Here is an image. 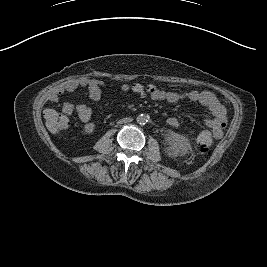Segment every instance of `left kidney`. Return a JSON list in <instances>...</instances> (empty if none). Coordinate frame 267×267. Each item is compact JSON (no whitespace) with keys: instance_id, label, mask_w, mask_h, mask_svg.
Segmentation results:
<instances>
[{"instance_id":"1","label":"left kidney","mask_w":267,"mask_h":267,"mask_svg":"<svg viewBox=\"0 0 267 267\" xmlns=\"http://www.w3.org/2000/svg\"><path fill=\"white\" fill-rule=\"evenodd\" d=\"M177 153L173 152L172 150L168 149L167 150V155H169V157H175Z\"/></svg>"}]
</instances>
